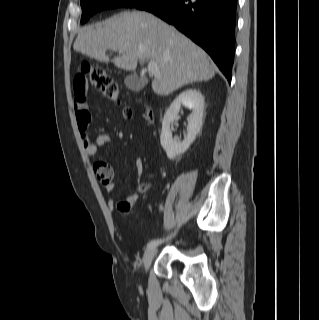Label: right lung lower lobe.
<instances>
[{
  "instance_id": "right-lung-lower-lobe-1",
  "label": "right lung lower lobe",
  "mask_w": 319,
  "mask_h": 320,
  "mask_svg": "<svg viewBox=\"0 0 319 320\" xmlns=\"http://www.w3.org/2000/svg\"><path fill=\"white\" fill-rule=\"evenodd\" d=\"M136 8L155 14L200 45L230 83L237 0H152Z\"/></svg>"
}]
</instances>
